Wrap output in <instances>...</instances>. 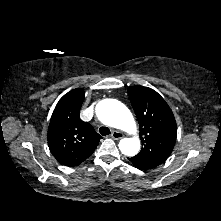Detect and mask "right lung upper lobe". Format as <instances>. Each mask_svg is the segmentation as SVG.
I'll return each instance as SVG.
<instances>
[{
    "instance_id": "obj_1",
    "label": "right lung upper lobe",
    "mask_w": 221,
    "mask_h": 221,
    "mask_svg": "<svg viewBox=\"0 0 221 221\" xmlns=\"http://www.w3.org/2000/svg\"><path fill=\"white\" fill-rule=\"evenodd\" d=\"M85 93L74 89L57 103L48 128V146L56 160L74 167L88 158L102 138L94 128L80 119Z\"/></svg>"
}]
</instances>
